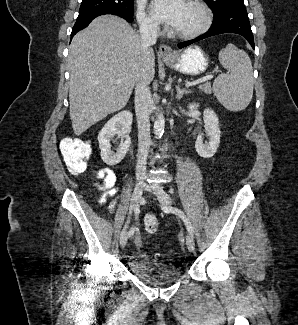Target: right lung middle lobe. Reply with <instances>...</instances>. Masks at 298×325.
Returning a JSON list of instances; mask_svg holds the SVG:
<instances>
[{"mask_svg": "<svg viewBox=\"0 0 298 325\" xmlns=\"http://www.w3.org/2000/svg\"><path fill=\"white\" fill-rule=\"evenodd\" d=\"M134 0H83L78 18L92 16L101 12L114 11L133 16Z\"/></svg>", "mask_w": 298, "mask_h": 325, "instance_id": "obj_1", "label": "right lung middle lobe"}]
</instances>
